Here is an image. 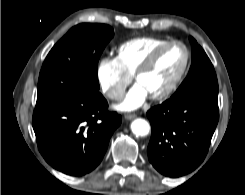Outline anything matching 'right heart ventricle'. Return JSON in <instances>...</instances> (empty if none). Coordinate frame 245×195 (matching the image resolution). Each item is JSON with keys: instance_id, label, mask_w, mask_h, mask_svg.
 <instances>
[{"instance_id": "right-heart-ventricle-1", "label": "right heart ventricle", "mask_w": 245, "mask_h": 195, "mask_svg": "<svg viewBox=\"0 0 245 195\" xmlns=\"http://www.w3.org/2000/svg\"><path fill=\"white\" fill-rule=\"evenodd\" d=\"M166 42L165 39L153 37L131 39L117 48L115 58L123 71L131 76L151 51Z\"/></svg>"}]
</instances>
